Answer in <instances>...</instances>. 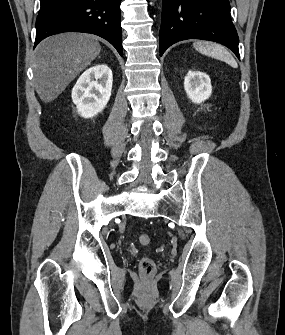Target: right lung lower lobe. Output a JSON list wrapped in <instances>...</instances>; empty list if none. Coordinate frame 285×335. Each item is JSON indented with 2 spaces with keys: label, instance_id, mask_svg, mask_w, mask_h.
Listing matches in <instances>:
<instances>
[{
  "label": "right lung lower lobe",
  "instance_id": "1",
  "mask_svg": "<svg viewBox=\"0 0 285 335\" xmlns=\"http://www.w3.org/2000/svg\"><path fill=\"white\" fill-rule=\"evenodd\" d=\"M35 45L63 32H83L109 41L122 56L121 0H40Z\"/></svg>",
  "mask_w": 285,
  "mask_h": 335
}]
</instances>
